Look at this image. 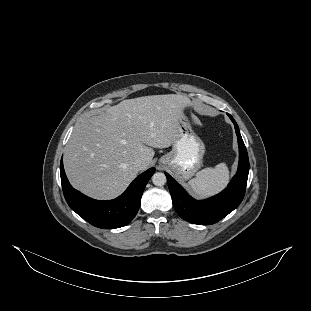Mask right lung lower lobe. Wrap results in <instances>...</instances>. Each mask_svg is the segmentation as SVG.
I'll use <instances>...</instances> for the list:
<instances>
[{
    "label": "right lung lower lobe",
    "instance_id": "right-lung-lower-lobe-1",
    "mask_svg": "<svg viewBox=\"0 0 311 311\" xmlns=\"http://www.w3.org/2000/svg\"><path fill=\"white\" fill-rule=\"evenodd\" d=\"M154 172L155 168H150L140 174L118 198L98 201L75 190L65 175L62 159L60 163L61 184L68 205L84 220L103 229L125 226L135 217L144 188Z\"/></svg>",
    "mask_w": 311,
    "mask_h": 311
}]
</instances>
